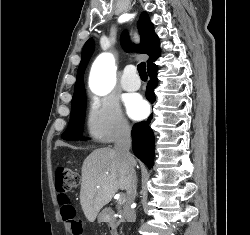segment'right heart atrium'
Segmentation results:
<instances>
[{"label":"right heart atrium","mask_w":250,"mask_h":235,"mask_svg":"<svg viewBox=\"0 0 250 235\" xmlns=\"http://www.w3.org/2000/svg\"><path fill=\"white\" fill-rule=\"evenodd\" d=\"M86 128L92 138L103 142L127 139L131 133V126L118 104L101 97L89 102Z\"/></svg>","instance_id":"1"}]
</instances>
